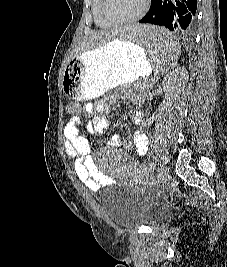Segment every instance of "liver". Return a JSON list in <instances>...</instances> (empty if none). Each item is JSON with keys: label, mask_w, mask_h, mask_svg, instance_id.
Listing matches in <instances>:
<instances>
[{"label": "liver", "mask_w": 227, "mask_h": 267, "mask_svg": "<svg viewBox=\"0 0 227 267\" xmlns=\"http://www.w3.org/2000/svg\"><path fill=\"white\" fill-rule=\"evenodd\" d=\"M121 33H127V30H118L116 27L113 29L92 32L89 37L84 39L82 43L73 50L70 58H73L82 52L101 47L107 42L119 38Z\"/></svg>", "instance_id": "1"}]
</instances>
